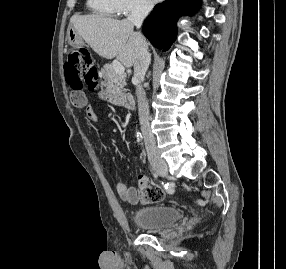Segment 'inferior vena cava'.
I'll list each match as a JSON object with an SVG mask.
<instances>
[{
    "instance_id": "1",
    "label": "inferior vena cava",
    "mask_w": 286,
    "mask_h": 269,
    "mask_svg": "<svg viewBox=\"0 0 286 269\" xmlns=\"http://www.w3.org/2000/svg\"><path fill=\"white\" fill-rule=\"evenodd\" d=\"M153 5L151 3H145L143 1L137 2L127 21L135 25L138 29L141 27L145 17L148 15ZM150 54L148 53V47L143 36L140 38L139 43V59L134 65V79L139 80V84L136 85V95L138 101L139 120L141 125V131L144 138L145 148L147 151L148 160L154 162L160 160V154L156 148L155 137L150 129L149 125V107L146 99V93L142 87L141 82L144 80L146 71L150 64Z\"/></svg>"
}]
</instances>
